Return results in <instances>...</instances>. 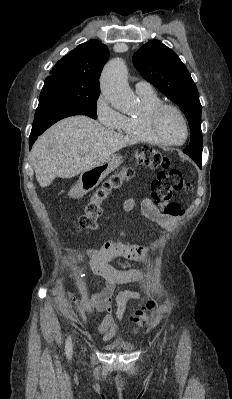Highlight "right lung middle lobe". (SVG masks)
Returning a JSON list of instances; mask_svg holds the SVG:
<instances>
[{
	"instance_id": "right-lung-middle-lobe-1",
	"label": "right lung middle lobe",
	"mask_w": 232,
	"mask_h": 399,
	"mask_svg": "<svg viewBox=\"0 0 232 399\" xmlns=\"http://www.w3.org/2000/svg\"><path fill=\"white\" fill-rule=\"evenodd\" d=\"M99 95V90H90L56 80H45L40 100L60 101L72 104L96 119V105Z\"/></svg>"
}]
</instances>
